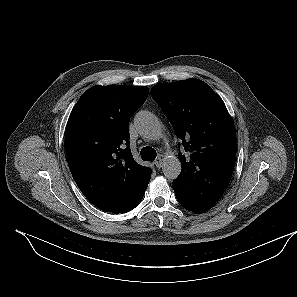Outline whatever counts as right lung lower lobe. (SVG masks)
<instances>
[{"mask_svg": "<svg viewBox=\"0 0 297 297\" xmlns=\"http://www.w3.org/2000/svg\"><path fill=\"white\" fill-rule=\"evenodd\" d=\"M146 188H147V187H146ZM146 188L139 194V196H138L137 199L133 202V204H132L126 211H124L123 213L128 212V211L134 209V208L141 202V200H142V198H143V195H144V193H145Z\"/></svg>", "mask_w": 297, "mask_h": 297, "instance_id": "obj_1", "label": "right lung lower lobe"}]
</instances>
